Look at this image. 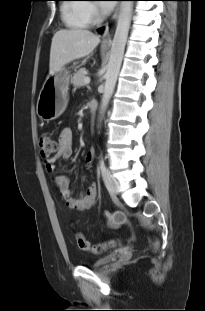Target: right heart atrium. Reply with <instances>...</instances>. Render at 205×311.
I'll return each mask as SVG.
<instances>
[{
    "label": "right heart atrium",
    "mask_w": 205,
    "mask_h": 311,
    "mask_svg": "<svg viewBox=\"0 0 205 311\" xmlns=\"http://www.w3.org/2000/svg\"><path fill=\"white\" fill-rule=\"evenodd\" d=\"M87 10L91 21H96L100 18L101 13L95 4H89Z\"/></svg>",
    "instance_id": "d8ad5b80"
}]
</instances>
